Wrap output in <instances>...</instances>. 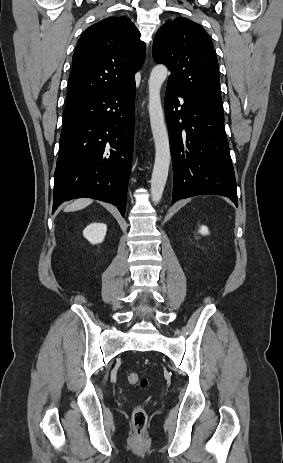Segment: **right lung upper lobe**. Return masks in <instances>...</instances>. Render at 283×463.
Listing matches in <instances>:
<instances>
[{
	"instance_id": "obj_1",
	"label": "right lung upper lobe",
	"mask_w": 283,
	"mask_h": 463,
	"mask_svg": "<svg viewBox=\"0 0 283 463\" xmlns=\"http://www.w3.org/2000/svg\"><path fill=\"white\" fill-rule=\"evenodd\" d=\"M145 51L139 31L126 16L105 18L88 27L73 56L66 107L135 82Z\"/></svg>"
}]
</instances>
